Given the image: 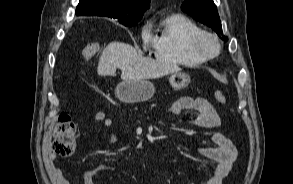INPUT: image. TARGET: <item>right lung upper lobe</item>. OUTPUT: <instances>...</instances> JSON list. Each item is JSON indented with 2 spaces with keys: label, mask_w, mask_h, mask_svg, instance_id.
Wrapping results in <instances>:
<instances>
[{
  "label": "right lung upper lobe",
  "mask_w": 293,
  "mask_h": 184,
  "mask_svg": "<svg viewBox=\"0 0 293 184\" xmlns=\"http://www.w3.org/2000/svg\"><path fill=\"white\" fill-rule=\"evenodd\" d=\"M150 0H80L76 15L105 16L120 23L140 20Z\"/></svg>",
  "instance_id": "obj_1"
}]
</instances>
